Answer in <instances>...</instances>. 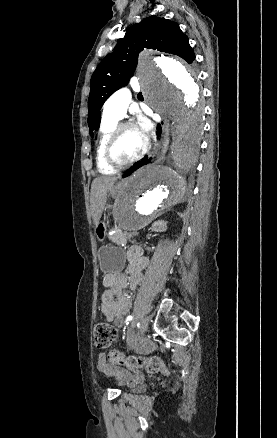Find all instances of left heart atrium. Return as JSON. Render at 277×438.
I'll list each match as a JSON object with an SVG mask.
<instances>
[{
	"mask_svg": "<svg viewBox=\"0 0 277 438\" xmlns=\"http://www.w3.org/2000/svg\"><path fill=\"white\" fill-rule=\"evenodd\" d=\"M137 129L141 138L145 140L148 136V132L150 131V124L145 118L141 117L139 118Z\"/></svg>",
	"mask_w": 277,
	"mask_h": 438,
	"instance_id": "1",
	"label": "left heart atrium"
}]
</instances>
